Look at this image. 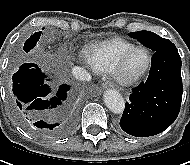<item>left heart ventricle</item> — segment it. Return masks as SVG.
Masks as SVG:
<instances>
[{
	"instance_id": "left-heart-ventricle-1",
	"label": "left heart ventricle",
	"mask_w": 190,
	"mask_h": 165,
	"mask_svg": "<svg viewBox=\"0 0 190 165\" xmlns=\"http://www.w3.org/2000/svg\"><path fill=\"white\" fill-rule=\"evenodd\" d=\"M147 60V53L144 50L134 52L126 62V74L133 76L140 73L145 68Z\"/></svg>"
}]
</instances>
